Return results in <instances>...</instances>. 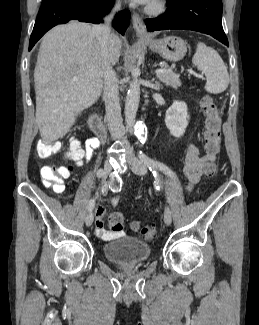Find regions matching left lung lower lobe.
<instances>
[{
    "instance_id": "0a47b994",
    "label": "left lung lower lobe",
    "mask_w": 259,
    "mask_h": 325,
    "mask_svg": "<svg viewBox=\"0 0 259 325\" xmlns=\"http://www.w3.org/2000/svg\"><path fill=\"white\" fill-rule=\"evenodd\" d=\"M167 5L164 14L146 20L148 31L192 30L211 35L229 45L222 27L221 0H167Z\"/></svg>"
}]
</instances>
